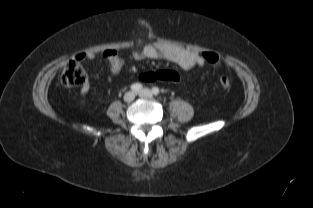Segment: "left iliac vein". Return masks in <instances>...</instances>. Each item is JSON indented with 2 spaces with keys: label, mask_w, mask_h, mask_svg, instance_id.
I'll return each mask as SVG.
<instances>
[{
  "label": "left iliac vein",
  "mask_w": 313,
  "mask_h": 208,
  "mask_svg": "<svg viewBox=\"0 0 313 208\" xmlns=\"http://www.w3.org/2000/svg\"><path fill=\"white\" fill-rule=\"evenodd\" d=\"M138 95L142 98H151L152 92L149 89H142L138 92Z\"/></svg>",
  "instance_id": "left-iliac-vein-1"
}]
</instances>
